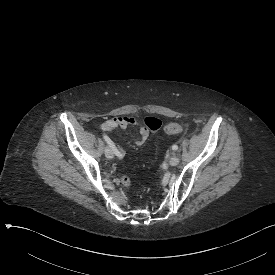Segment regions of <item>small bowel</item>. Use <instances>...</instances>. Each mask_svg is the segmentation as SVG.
Here are the masks:
<instances>
[{
  "label": "small bowel",
  "instance_id": "obj_1",
  "mask_svg": "<svg viewBox=\"0 0 275 275\" xmlns=\"http://www.w3.org/2000/svg\"><path fill=\"white\" fill-rule=\"evenodd\" d=\"M134 119L133 118H122L117 117L116 119H113L112 121H108L107 123L103 124L104 130H109L110 128H119L124 129L126 125H133ZM145 124L148 126L145 129L141 130V138L136 141L137 146H141L148 136H151L153 132H156L161 128V123L159 121H154L152 117H147L145 119Z\"/></svg>",
  "mask_w": 275,
  "mask_h": 275
}]
</instances>
